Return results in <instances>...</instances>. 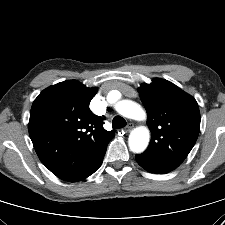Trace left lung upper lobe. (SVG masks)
I'll return each instance as SVG.
<instances>
[{
  "mask_svg": "<svg viewBox=\"0 0 225 225\" xmlns=\"http://www.w3.org/2000/svg\"><path fill=\"white\" fill-rule=\"evenodd\" d=\"M138 92L151 130L150 145L142 155L175 169L197 140L200 131L198 104L191 95L164 79L144 83Z\"/></svg>",
  "mask_w": 225,
  "mask_h": 225,
  "instance_id": "left-lung-upper-lobe-1",
  "label": "left lung upper lobe"
}]
</instances>
